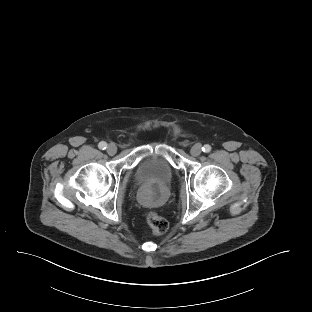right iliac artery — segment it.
Returning a JSON list of instances; mask_svg holds the SVG:
<instances>
[{"instance_id": "obj_1", "label": "right iliac artery", "mask_w": 312, "mask_h": 312, "mask_svg": "<svg viewBox=\"0 0 312 312\" xmlns=\"http://www.w3.org/2000/svg\"><path fill=\"white\" fill-rule=\"evenodd\" d=\"M99 149L105 150L107 148V143L102 141L98 144Z\"/></svg>"}]
</instances>
